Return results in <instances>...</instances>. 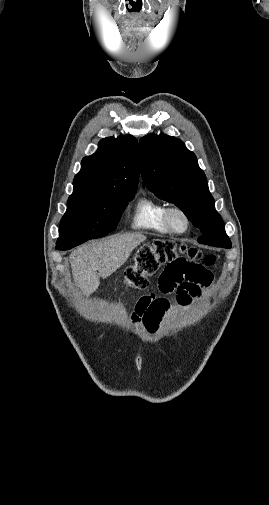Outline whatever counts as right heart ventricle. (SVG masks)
<instances>
[{
    "instance_id": "e07e8e85",
    "label": "right heart ventricle",
    "mask_w": 269,
    "mask_h": 505,
    "mask_svg": "<svg viewBox=\"0 0 269 505\" xmlns=\"http://www.w3.org/2000/svg\"><path fill=\"white\" fill-rule=\"evenodd\" d=\"M167 206L150 196L140 197L132 211L131 226L137 230H148L160 235L171 232L164 222V212Z\"/></svg>"
}]
</instances>
